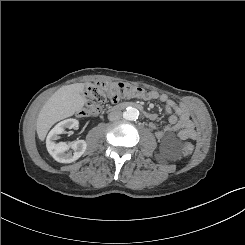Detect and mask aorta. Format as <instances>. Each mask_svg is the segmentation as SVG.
Instances as JSON below:
<instances>
[{"label":"aorta","mask_w":245,"mask_h":245,"mask_svg":"<svg viewBox=\"0 0 245 245\" xmlns=\"http://www.w3.org/2000/svg\"><path fill=\"white\" fill-rule=\"evenodd\" d=\"M138 116H139V111L134 107H128L124 112V117L127 120H131V121L136 120Z\"/></svg>","instance_id":"762f6f07"}]
</instances>
